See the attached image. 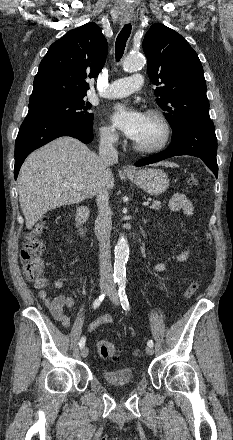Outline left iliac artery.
<instances>
[{
  "label": "left iliac artery",
  "mask_w": 233,
  "mask_h": 440,
  "mask_svg": "<svg viewBox=\"0 0 233 440\" xmlns=\"http://www.w3.org/2000/svg\"><path fill=\"white\" fill-rule=\"evenodd\" d=\"M125 288H126V281L125 280H120L119 281V297H120V301H121V306L125 311H129L130 310V306H129V302H128V298L125 292ZM147 345L150 347H153L154 343L152 340H149L147 342Z\"/></svg>",
  "instance_id": "1"
}]
</instances>
